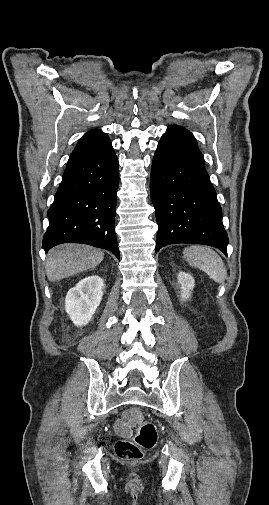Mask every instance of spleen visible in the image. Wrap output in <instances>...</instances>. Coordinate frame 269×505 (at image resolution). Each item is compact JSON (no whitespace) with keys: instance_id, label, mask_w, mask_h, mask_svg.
Wrapping results in <instances>:
<instances>
[{"instance_id":"3e777b00","label":"spleen","mask_w":269,"mask_h":505,"mask_svg":"<svg viewBox=\"0 0 269 505\" xmlns=\"http://www.w3.org/2000/svg\"><path fill=\"white\" fill-rule=\"evenodd\" d=\"M183 256L189 265L206 272L217 283L227 278V270L221 257L211 248L192 245L183 250Z\"/></svg>"}]
</instances>
